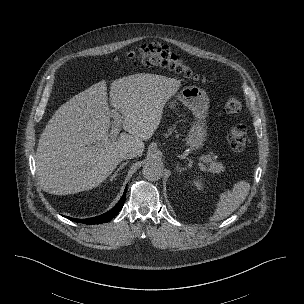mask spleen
Wrapping results in <instances>:
<instances>
[{
	"label": "spleen",
	"mask_w": 304,
	"mask_h": 304,
	"mask_svg": "<svg viewBox=\"0 0 304 304\" xmlns=\"http://www.w3.org/2000/svg\"><path fill=\"white\" fill-rule=\"evenodd\" d=\"M250 184L247 181L237 182L231 192H224L220 195L216 210L211 217L212 221H219L228 217L246 199L249 194Z\"/></svg>",
	"instance_id": "3e777b00"
}]
</instances>
